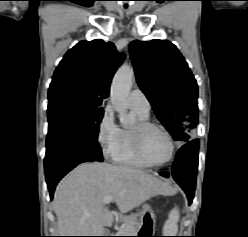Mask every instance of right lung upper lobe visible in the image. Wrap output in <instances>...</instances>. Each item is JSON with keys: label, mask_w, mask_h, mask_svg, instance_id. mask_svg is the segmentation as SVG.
<instances>
[{"label": "right lung upper lobe", "mask_w": 248, "mask_h": 237, "mask_svg": "<svg viewBox=\"0 0 248 237\" xmlns=\"http://www.w3.org/2000/svg\"><path fill=\"white\" fill-rule=\"evenodd\" d=\"M124 60L114 44L102 40L81 41L70 49L56 68L48 99H76L101 105L109 94L116 69Z\"/></svg>", "instance_id": "right-lung-upper-lobe-1"}]
</instances>
